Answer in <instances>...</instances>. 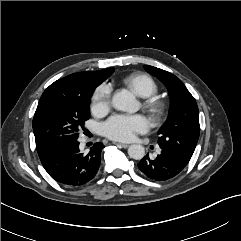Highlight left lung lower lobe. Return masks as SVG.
Here are the masks:
<instances>
[{"mask_svg": "<svg viewBox=\"0 0 241 241\" xmlns=\"http://www.w3.org/2000/svg\"><path fill=\"white\" fill-rule=\"evenodd\" d=\"M186 166L177 157L165 149L154 159L146 155L138 163L140 171L155 181H165L178 175Z\"/></svg>", "mask_w": 241, "mask_h": 241, "instance_id": "obj_1", "label": "left lung lower lobe"}]
</instances>
